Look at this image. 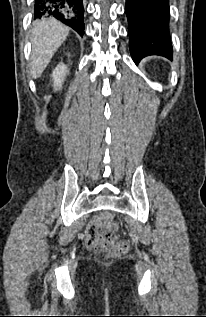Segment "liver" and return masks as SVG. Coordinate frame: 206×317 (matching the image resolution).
I'll return each mask as SVG.
<instances>
[{
  "instance_id": "liver-1",
  "label": "liver",
  "mask_w": 206,
  "mask_h": 317,
  "mask_svg": "<svg viewBox=\"0 0 206 317\" xmlns=\"http://www.w3.org/2000/svg\"><path fill=\"white\" fill-rule=\"evenodd\" d=\"M68 34L69 28L53 18L42 19L34 24L30 58V72L34 79L41 76Z\"/></svg>"
}]
</instances>
